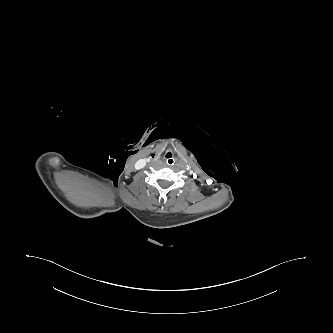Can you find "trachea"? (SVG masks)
Masks as SVG:
<instances>
[{"instance_id":"trachea-1","label":"trachea","mask_w":333,"mask_h":333,"mask_svg":"<svg viewBox=\"0 0 333 333\" xmlns=\"http://www.w3.org/2000/svg\"><path fill=\"white\" fill-rule=\"evenodd\" d=\"M163 160L168 166H173L177 162V157L173 153L168 152L164 155Z\"/></svg>"}]
</instances>
